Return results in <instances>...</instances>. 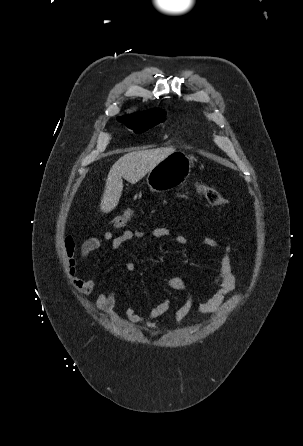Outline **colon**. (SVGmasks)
Returning a JSON list of instances; mask_svg holds the SVG:
<instances>
[{"instance_id": "1", "label": "colon", "mask_w": 303, "mask_h": 446, "mask_svg": "<svg viewBox=\"0 0 303 446\" xmlns=\"http://www.w3.org/2000/svg\"><path fill=\"white\" fill-rule=\"evenodd\" d=\"M196 191L205 201L213 206H225L228 201L216 189L202 184L196 185ZM135 211L127 209L121 214L115 216L110 222V226L114 229H120L126 226L134 217Z\"/></svg>"}]
</instances>
